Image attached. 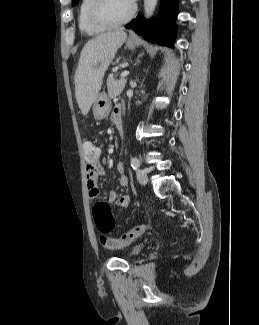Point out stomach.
<instances>
[{
  "instance_id": "obj_1",
  "label": "stomach",
  "mask_w": 259,
  "mask_h": 325,
  "mask_svg": "<svg viewBox=\"0 0 259 325\" xmlns=\"http://www.w3.org/2000/svg\"><path fill=\"white\" fill-rule=\"evenodd\" d=\"M137 43L135 41L128 40L126 42V47L128 49H134ZM111 110V101L105 93H100L97 95L93 103V114L96 119L106 118Z\"/></svg>"
}]
</instances>
